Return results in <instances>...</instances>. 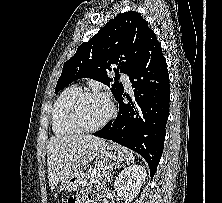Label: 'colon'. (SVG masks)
I'll return each mask as SVG.
<instances>
[{
  "mask_svg": "<svg viewBox=\"0 0 222 203\" xmlns=\"http://www.w3.org/2000/svg\"><path fill=\"white\" fill-rule=\"evenodd\" d=\"M69 203H72V199L69 200Z\"/></svg>",
  "mask_w": 222,
  "mask_h": 203,
  "instance_id": "1",
  "label": "colon"
}]
</instances>
